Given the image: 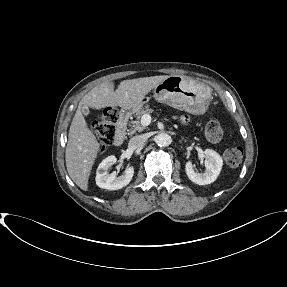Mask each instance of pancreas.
Here are the masks:
<instances>
[{
    "label": "pancreas",
    "mask_w": 287,
    "mask_h": 287,
    "mask_svg": "<svg viewBox=\"0 0 287 287\" xmlns=\"http://www.w3.org/2000/svg\"><path fill=\"white\" fill-rule=\"evenodd\" d=\"M153 110L151 108H149V106H145L143 108H140L136 111V119L135 120H132L130 122V126H131V129L129 130V134H134L136 132H141L145 129L144 126L141 125V118L144 114H150L152 113Z\"/></svg>",
    "instance_id": "1"
}]
</instances>
